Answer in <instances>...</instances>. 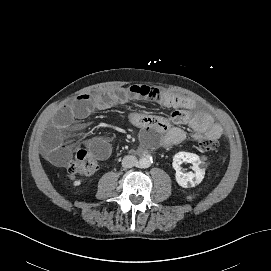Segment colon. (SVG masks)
I'll return each instance as SVG.
<instances>
[{
    "instance_id": "colon-1",
    "label": "colon",
    "mask_w": 271,
    "mask_h": 271,
    "mask_svg": "<svg viewBox=\"0 0 271 271\" xmlns=\"http://www.w3.org/2000/svg\"><path fill=\"white\" fill-rule=\"evenodd\" d=\"M219 141L215 137L205 136L199 142L202 151H213L218 148ZM98 169L95 158L86 150H78L67 165L70 174L91 175Z\"/></svg>"
}]
</instances>
